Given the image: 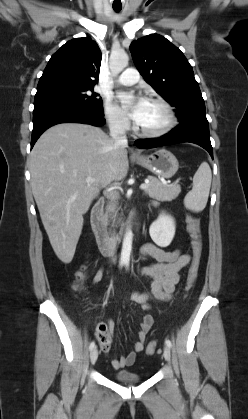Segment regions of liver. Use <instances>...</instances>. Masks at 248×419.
<instances>
[{
	"label": "liver",
	"mask_w": 248,
	"mask_h": 419,
	"mask_svg": "<svg viewBox=\"0 0 248 419\" xmlns=\"http://www.w3.org/2000/svg\"><path fill=\"white\" fill-rule=\"evenodd\" d=\"M129 168L127 149L100 128L62 123L49 128L30 154L31 188L57 257L70 263L81 235L83 214L100 190L120 181ZM92 177L95 182H86Z\"/></svg>",
	"instance_id": "1"
}]
</instances>
